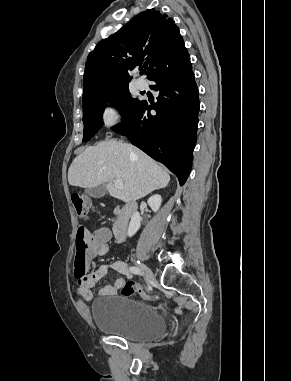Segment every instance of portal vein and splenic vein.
Returning <instances> with one entry per match:
<instances>
[{
	"label": "portal vein and splenic vein",
	"instance_id": "obj_1",
	"mask_svg": "<svg viewBox=\"0 0 291 381\" xmlns=\"http://www.w3.org/2000/svg\"><path fill=\"white\" fill-rule=\"evenodd\" d=\"M114 186L119 188V189H122L123 188V181L120 180V179H115L114 181Z\"/></svg>",
	"mask_w": 291,
	"mask_h": 381
}]
</instances>
